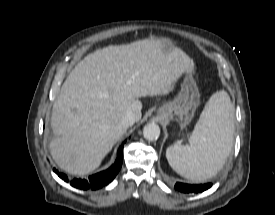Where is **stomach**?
I'll return each mask as SVG.
<instances>
[{
	"instance_id": "1",
	"label": "stomach",
	"mask_w": 275,
	"mask_h": 215,
	"mask_svg": "<svg viewBox=\"0 0 275 215\" xmlns=\"http://www.w3.org/2000/svg\"><path fill=\"white\" fill-rule=\"evenodd\" d=\"M160 41L165 51L174 49L169 39L162 38ZM199 103L200 93L193 78V73H186L178 95L173 101L159 107L157 115L165 119H174L178 121L181 126H185L193 118Z\"/></svg>"
}]
</instances>
